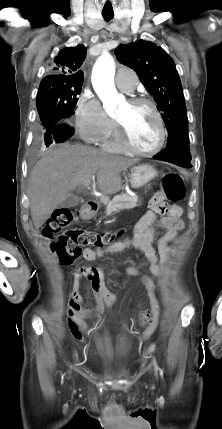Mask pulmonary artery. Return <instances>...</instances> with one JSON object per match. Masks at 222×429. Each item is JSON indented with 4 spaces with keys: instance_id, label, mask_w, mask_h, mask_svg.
Instances as JSON below:
<instances>
[{
    "instance_id": "obj_1",
    "label": "pulmonary artery",
    "mask_w": 222,
    "mask_h": 429,
    "mask_svg": "<svg viewBox=\"0 0 222 429\" xmlns=\"http://www.w3.org/2000/svg\"><path fill=\"white\" fill-rule=\"evenodd\" d=\"M115 82L117 87L124 92H132L138 83L135 72L129 68H121L117 71Z\"/></svg>"
}]
</instances>
